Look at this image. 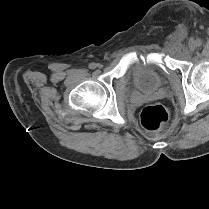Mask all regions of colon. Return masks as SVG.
<instances>
[{
    "label": "colon",
    "mask_w": 209,
    "mask_h": 209,
    "mask_svg": "<svg viewBox=\"0 0 209 209\" xmlns=\"http://www.w3.org/2000/svg\"><path fill=\"white\" fill-rule=\"evenodd\" d=\"M170 118L169 110L162 105L145 107L140 116L142 126L149 131L161 129Z\"/></svg>",
    "instance_id": "1"
}]
</instances>
